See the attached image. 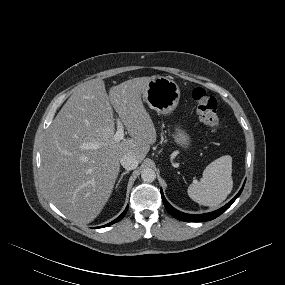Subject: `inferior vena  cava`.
Segmentation results:
<instances>
[{
	"instance_id": "1",
	"label": "inferior vena cava",
	"mask_w": 285,
	"mask_h": 285,
	"mask_svg": "<svg viewBox=\"0 0 285 285\" xmlns=\"http://www.w3.org/2000/svg\"><path fill=\"white\" fill-rule=\"evenodd\" d=\"M120 163L125 169L134 170L137 168L139 161L134 155L128 153L121 157Z\"/></svg>"
}]
</instances>
